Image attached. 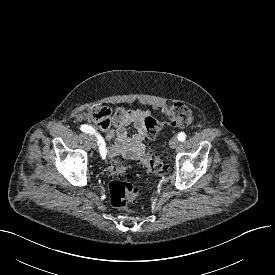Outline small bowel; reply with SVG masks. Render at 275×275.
I'll use <instances>...</instances> for the list:
<instances>
[{"label": "small bowel", "instance_id": "small-bowel-1", "mask_svg": "<svg viewBox=\"0 0 275 275\" xmlns=\"http://www.w3.org/2000/svg\"><path fill=\"white\" fill-rule=\"evenodd\" d=\"M149 118L152 116L148 110L117 108L113 116V129L106 134V139L112 142L105 147L107 157L115 160L119 156L127 159L140 156L148 137L146 121ZM130 125L135 128V133L131 137L127 130Z\"/></svg>", "mask_w": 275, "mask_h": 275}]
</instances>
